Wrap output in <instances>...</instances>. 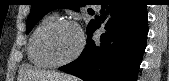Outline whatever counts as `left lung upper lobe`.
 I'll return each mask as SVG.
<instances>
[{
    "label": "left lung upper lobe",
    "instance_id": "1",
    "mask_svg": "<svg viewBox=\"0 0 169 81\" xmlns=\"http://www.w3.org/2000/svg\"><path fill=\"white\" fill-rule=\"evenodd\" d=\"M31 6V12L27 19L26 34H28L34 25L49 11L58 7H65L78 11L79 6L81 5L63 4L61 0H32ZM93 24L94 20H91L87 27V32L90 30Z\"/></svg>",
    "mask_w": 169,
    "mask_h": 81
}]
</instances>
